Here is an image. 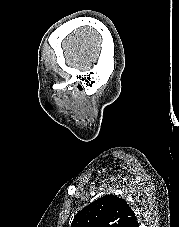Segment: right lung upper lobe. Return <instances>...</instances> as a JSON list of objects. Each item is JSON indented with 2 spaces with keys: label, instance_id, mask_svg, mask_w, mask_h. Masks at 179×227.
Returning a JSON list of instances; mask_svg holds the SVG:
<instances>
[{
  "label": "right lung upper lobe",
  "instance_id": "right-lung-upper-lobe-1",
  "mask_svg": "<svg viewBox=\"0 0 179 227\" xmlns=\"http://www.w3.org/2000/svg\"><path fill=\"white\" fill-rule=\"evenodd\" d=\"M71 227H139V224L124 199L105 195L79 211Z\"/></svg>",
  "mask_w": 179,
  "mask_h": 227
}]
</instances>
